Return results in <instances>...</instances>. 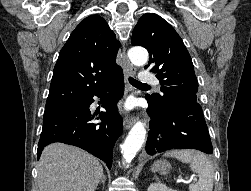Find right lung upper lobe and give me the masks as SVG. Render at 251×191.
Masks as SVG:
<instances>
[{"label": "right lung upper lobe", "instance_id": "cb5924a9", "mask_svg": "<svg viewBox=\"0 0 251 191\" xmlns=\"http://www.w3.org/2000/svg\"><path fill=\"white\" fill-rule=\"evenodd\" d=\"M118 49L116 35L101 16L85 18L59 53L45 110L80 103L123 76L116 64Z\"/></svg>", "mask_w": 251, "mask_h": 191}]
</instances>
